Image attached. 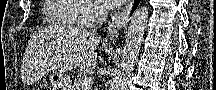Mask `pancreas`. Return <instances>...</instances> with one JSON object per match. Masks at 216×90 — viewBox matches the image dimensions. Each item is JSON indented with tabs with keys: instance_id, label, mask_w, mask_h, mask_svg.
<instances>
[{
	"instance_id": "1",
	"label": "pancreas",
	"mask_w": 216,
	"mask_h": 90,
	"mask_svg": "<svg viewBox=\"0 0 216 90\" xmlns=\"http://www.w3.org/2000/svg\"><path fill=\"white\" fill-rule=\"evenodd\" d=\"M80 80H81V78H79V76H78L77 80H74V82H76V84H75L76 90H77L78 86H80Z\"/></svg>"
}]
</instances>
